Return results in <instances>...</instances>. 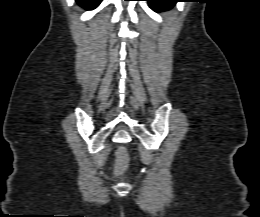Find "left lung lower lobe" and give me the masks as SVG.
Returning a JSON list of instances; mask_svg holds the SVG:
<instances>
[{
  "mask_svg": "<svg viewBox=\"0 0 260 217\" xmlns=\"http://www.w3.org/2000/svg\"><path fill=\"white\" fill-rule=\"evenodd\" d=\"M155 12L166 11L173 7L178 0H146Z\"/></svg>",
  "mask_w": 260,
  "mask_h": 217,
  "instance_id": "obj_1",
  "label": "left lung lower lobe"
}]
</instances>
